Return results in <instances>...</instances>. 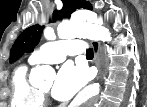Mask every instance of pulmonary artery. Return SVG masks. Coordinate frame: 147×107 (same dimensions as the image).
I'll return each instance as SVG.
<instances>
[{
    "mask_svg": "<svg viewBox=\"0 0 147 107\" xmlns=\"http://www.w3.org/2000/svg\"><path fill=\"white\" fill-rule=\"evenodd\" d=\"M86 46L81 40H60L41 45L30 60L34 63L56 64L69 55L84 53Z\"/></svg>",
    "mask_w": 147,
    "mask_h": 107,
    "instance_id": "e3ab8cb5",
    "label": "pulmonary artery"
}]
</instances>
